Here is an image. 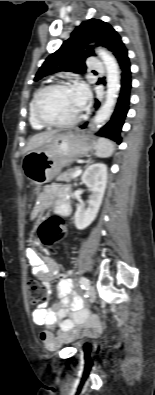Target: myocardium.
Here are the masks:
<instances>
[{"label":"myocardium","instance_id":"obj_1","mask_svg":"<svg viewBox=\"0 0 155 395\" xmlns=\"http://www.w3.org/2000/svg\"><path fill=\"white\" fill-rule=\"evenodd\" d=\"M63 88H73V84L70 82H55L52 84H48L41 89L38 90L36 93L33 104H32V112L33 116L36 119V121L44 126V127H52V128H69L74 125H76L80 121V114H78L75 118H73L70 121L67 122H53L45 119L41 113H40V101L42 97L49 91L54 90V89H63Z\"/></svg>","mask_w":155,"mask_h":395}]
</instances>
